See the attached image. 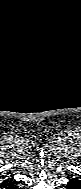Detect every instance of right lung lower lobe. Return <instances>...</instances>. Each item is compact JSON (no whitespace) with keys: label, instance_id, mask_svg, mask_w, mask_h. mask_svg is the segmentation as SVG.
<instances>
[{"label":"right lung lower lobe","instance_id":"right-lung-lower-lobe-1","mask_svg":"<svg viewBox=\"0 0 81 189\" xmlns=\"http://www.w3.org/2000/svg\"><path fill=\"white\" fill-rule=\"evenodd\" d=\"M1 187H3L4 189H22L19 188L18 186V182L17 181H13V178H9L8 180H6Z\"/></svg>","mask_w":81,"mask_h":189}]
</instances>
